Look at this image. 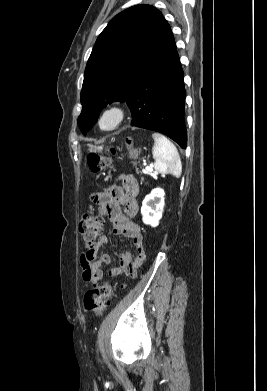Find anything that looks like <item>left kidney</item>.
Returning <instances> with one entry per match:
<instances>
[{
    "label": "left kidney",
    "instance_id": "5707ae66",
    "mask_svg": "<svg viewBox=\"0 0 267 391\" xmlns=\"http://www.w3.org/2000/svg\"><path fill=\"white\" fill-rule=\"evenodd\" d=\"M163 207L164 191L159 188L152 190L142 202L141 214L143 222L153 227L157 226L162 218Z\"/></svg>",
    "mask_w": 267,
    "mask_h": 391
}]
</instances>
